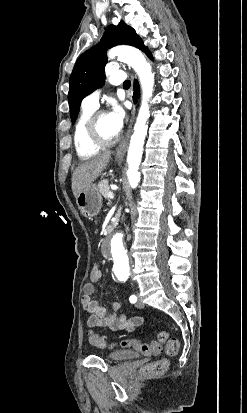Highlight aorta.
<instances>
[{"label":"aorta","instance_id":"aorta-1","mask_svg":"<svg viewBox=\"0 0 247 413\" xmlns=\"http://www.w3.org/2000/svg\"><path fill=\"white\" fill-rule=\"evenodd\" d=\"M108 57H118L121 61L131 66L137 73L141 88L142 101L140 110L131 136L128 150L127 177L132 188H136L140 182L138 171L143 154L144 140L147 135V121L150 117L148 101L152 97L154 86V74L151 65L146 61L144 55L136 48L130 46H117L109 50ZM115 269L119 276H125L129 272V260L126 251L118 247L114 252Z\"/></svg>","mask_w":247,"mask_h":413}]
</instances>
